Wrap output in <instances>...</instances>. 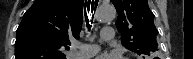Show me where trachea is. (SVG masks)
<instances>
[{"mask_svg": "<svg viewBox=\"0 0 193 59\" xmlns=\"http://www.w3.org/2000/svg\"><path fill=\"white\" fill-rule=\"evenodd\" d=\"M86 5H87L88 14L92 13L93 10H96L97 5H95V8H94V5H91V9H90V3H86ZM87 12H86V8H85V19H86V22H87V27L89 29L91 26L89 25V19H88V16H87Z\"/></svg>", "mask_w": 193, "mask_h": 59, "instance_id": "obj_1", "label": "trachea"}]
</instances>
